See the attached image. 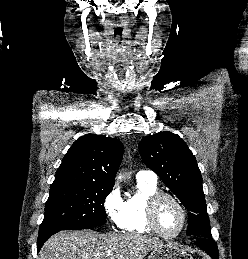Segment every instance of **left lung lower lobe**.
<instances>
[{
  "label": "left lung lower lobe",
  "instance_id": "1",
  "mask_svg": "<svg viewBox=\"0 0 248 259\" xmlns=\"http://www.w3.org/2000/svg\"><path fill=\"white\" fill-rule=\"evenodd\" d=\"M196 245L206 251L212 259H219L217 245L211 238H204L197 242Z\"/></svg>",
  "mask_w": 248,
  "mask_h": 259
}]
</instances>
